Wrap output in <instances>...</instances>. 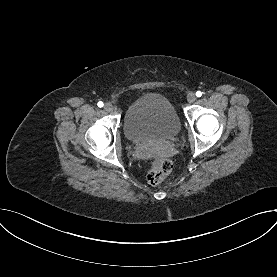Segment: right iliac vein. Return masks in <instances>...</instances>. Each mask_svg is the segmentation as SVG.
<instances>
[{
    "label": "right iliac vein",
    "mask_w": 277,
    "mask_h": 277,
    "mask_svg": "<svg viewBox=\"0 0 277 277\" xmlns=\"http://www.w3.org/2000/svg\"><path fill=\"white\" fill-rule=\"evenodd\" d=\"M104 110L107 111V112L113 111V105L109 102L105 103Z\"/></svg>",
    "instance_id": "obj_1"
}]
</instances>
